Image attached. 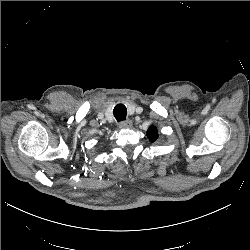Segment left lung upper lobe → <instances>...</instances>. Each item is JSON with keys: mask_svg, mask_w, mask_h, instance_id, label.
<instances>
[{"mask_svg": "<svg viewBox=\"0 0 250 250\" xmlns=\"http://www.w3.org/2000/svg\"><path fill=\"white\" fill-rule=\"evenodd\" d=\"M147 137L151 142H155L158 139L159 135L156 127H149V129L147 130Z\"/></svg>", "mask_w": 250, "mask_h": 250, "instance_id": "1", "label": "left lung upper lobe"}]
</instances>
